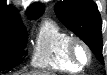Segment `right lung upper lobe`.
Returning <instances> with one entry per match:
<instances>
[{
  "mask_svg": "<svg viewBox=\"0 0 107 75\" xmlns=\"http://www.w3.org/2000/svg\"><path fill=\"white\" fill-rule=\"evenodd\" d=\"M44 13V6L38 3L31 5L27 10V16L33 20ZM21 24L20 17L15 8L6 6L0 1V30L10 24Z\"/></svg>",
  "mask_w": 107,
  "mask_h": 75,
  "instance_id": "right-lung-upper-lobe-1",
  "label": "right lung upper lobe"
}]
</instances>
